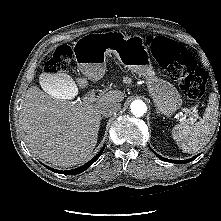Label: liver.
<instances>
[{
    "mask_svg": "<svg viewBox=\"0 0 221 221\" xmlns=\"http://www.w3.org/2000/svg\"><path fill=\"white\" fill-rule=\"evenodd\" d=\"M64 75L68 82L65 97L49 93L53 89L48 83L52 75H40L39 83L44 92L37 86L28 88L20 122L26 143L33 153L55 166L68 168L92 154L97 143L102 107L108 103H120L124 94L112 90L93 102L87 96L79 101H70L69 97L77 94L78 87L69 75ZM77 82L80 88L88 84L86 79Z\"/></svg>",
    "mask_w": 221,
    "mask_h": 221,
    "instance_id": "liver-1",
    "label": "liver"
}]
</instances>
